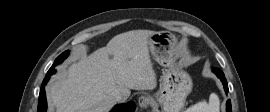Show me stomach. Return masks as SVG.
I'll return each instance as SVG.
<instances>
[{"label":"stomach","instance_id":"0dacf381","mask_svg":"<svg viewBox=\"0 0 270 112\" xmlns=\"http://www.w3.org/2000/svg\"><path fill=\"white\" fill-rule=\"evenodd\" d=\"M149 48L154 60L165 67L155 100L164 112H179L192 91V79L183 70L176 37L168 31L155 32L149 38Z\"/></svg>","mask_w":270,"mask_h":112}]
</instances>
